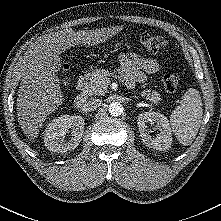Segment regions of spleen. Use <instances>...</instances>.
<instances>
[{
  "label": "spleen",
  "instance_id": "obj_1",
  "mask_svg": "<svg viewBox=\"0 0 221 221\" xmlns=\"http://www.w3.org/2000/svg\"><path fill=\"white\" fill-rule=\"evenodd\" d=\"M199 92L189 88L183 94L179 106L170 115V124L179 143L190 145L200 128L203 107Z\"/></svg>",
  "mask_w": 221,
  "mask_h": 221
}]
</instances>
